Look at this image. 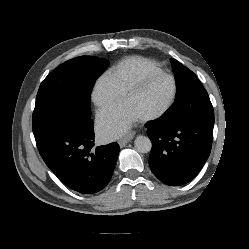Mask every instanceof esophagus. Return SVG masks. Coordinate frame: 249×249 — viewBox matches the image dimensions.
Instances as JSON below:
<instances>
[{"mask_svg": "<svg viewBox=\"0 0 249 249\" xmlns=\"http://www.w3.org/2000/svg\"><path fill=\"white\" fill-rule=\"evenodd\" d=\"M135 136L134 132L129 133L128 135H126L125 137H123L122 139L119 140V146L121 148L125 147L127 143H129Z\"/></svg>", "mask_w": 249, "mask_h": 249, "instance_id": "1", "label": "esophagus"}]
</instances>
